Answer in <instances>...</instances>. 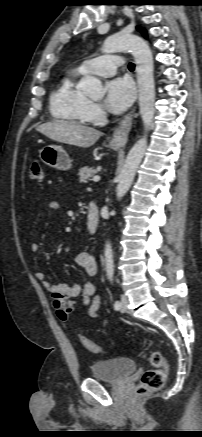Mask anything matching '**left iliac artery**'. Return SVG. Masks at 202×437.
Masks as SVG:
<instances>
[{
	"label": "left iliac artery",
	"instance_id": "obj_1",
	"mask_svg": "<svg viewBox=\"0 0 202 437\" xmlns=\"http://www.w3.org/2000/svg\"><path fill=\"white\" fill-rule=\"evenodd\" d=\"M110 281L112 282V279H110ZM120 307H121V303H120L119 301H116L115 304H114V308H115L116 310H119Z\"/></svg>",
	"mask_w": 202,
	"mask_h": 437
}]
</instances>
